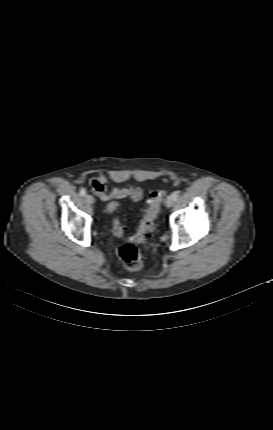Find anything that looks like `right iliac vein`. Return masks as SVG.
<instances>
[{
	"label": "right iliac vein",
	"mask_w": 273,
	"mask_h": 430,
	"mask_svg": "<svg viewBox=\"0 0 273 430\" xmlns=\"http://www.w3.org/2000/svg\"><path fill=\"white\" fill-rule=\"evenodd\" d=\"M86 202H87L88 204H93V203L95 202V199H94V197H93V196H91V195H86Z\"/></svg>",
	"instance_id": "1"
}]
</instances>
